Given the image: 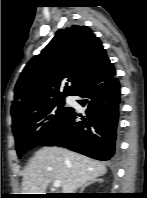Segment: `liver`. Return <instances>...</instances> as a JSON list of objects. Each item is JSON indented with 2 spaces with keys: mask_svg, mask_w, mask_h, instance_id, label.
I'll use <instances>...</instances> for the list:
<instances>
[{
  "mask_svg": "<svg viewBox=\"0 0 147 198\" xmlns=\"http://www.w3.org/2000/svg\"><path fill=\"white\" fill-rule=\"evenodd\" d=\"M104 163L56 146L39 149L28 163L22 179V194H46L48 185L61 181L62 193H73L104 175Z\"/></svg>",
  "mask_w": 147,
  "mask_h": 198,
  "instance_id": "liver-1",
  "label": "liver"
}]
</instances>
